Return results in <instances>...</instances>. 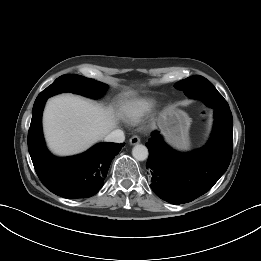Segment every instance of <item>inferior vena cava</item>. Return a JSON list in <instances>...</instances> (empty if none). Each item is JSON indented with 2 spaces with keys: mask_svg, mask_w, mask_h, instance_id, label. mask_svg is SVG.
Segmentation results:
<instances>
[{
  "mask_svg": "<svg viewBox=\"0 0 261 261\" xmlns=\"http://www.w3.org/2000/svg\"><path fill=\"white\" fill-rule=\"evenodd\" d=\"M125 140L124 132L120 129L111 131L108 135L105 136L106 142H115L122 143Z\"/></svg>",
  "mask_w": 261,
  "mask_h": 261,
  "instance_id": "602c4592",
  "label": "inferior vena cava"
}]
</instances>
